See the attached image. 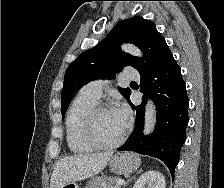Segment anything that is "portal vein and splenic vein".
Listing matches in <instances>:
<instances>
[{"label": "portal vein and splenic vein", "mask_w": 224, "mask_h": 188, "mask_svg": "<svg viewBox=\"0 0 224 188\" xmlns=\"http://www.w3.org/2000/svg\"><path fill=\"white\" fill-rule=\"evenodd\" d=\"M125 184V180L124 179H119L116 183V188H118L119 186Z\"/></svg>", "instance_id": "1"}]
</instances>
